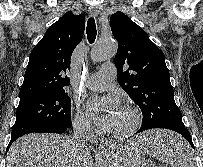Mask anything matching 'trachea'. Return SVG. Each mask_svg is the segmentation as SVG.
<instances>
[{"instance_id": "trachea-1", "label": "trachea", "mask_w": 203, "mask_h": 167, "mask_svg": "<svg viewBox=\"0 0 203 167\" xmlns=\"http://www.w3.org/2000/svg\"><path fill=\"white\" fill-rule=\"evenodd\" d=\"M87 38L89 43H93L96 39L97 30L94 18H89L87 21Z\"/></svg>"}]
</instances>
